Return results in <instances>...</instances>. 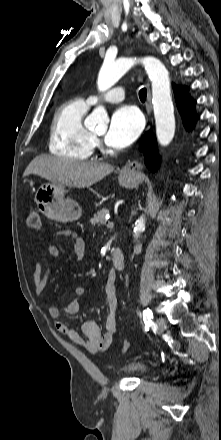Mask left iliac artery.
Masks as SVG:
<instances>
[{
	"label": "left iliac artery",
	"mask_w": 221,
	"mask_h": 440,
	"mask_svg": "<svg viewBox=\"0 0 221 440\" xmlns=\"http://www.w3.org/2000/svg\"><path fill=\"white\" fill-rule=\"evenodd\" d=\"M152 318H153V313L149 308H147L146 310L143 311V320L146 325V327H145L146 330L149 329V326L152 322L151 321Z\"/></svg>",
	"instance_id": "44dca946"
}]
</instances>
